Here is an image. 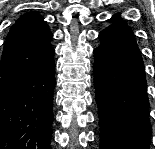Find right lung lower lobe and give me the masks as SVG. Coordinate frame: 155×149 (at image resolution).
I'll return each instance as SVG.
<instances>
[{
    "label": "right lung lower lobe",
    "mask_w": 155,
    "mask_h": 149,
    "mask_svg": "<svg viewBox=\"0 0 155 149\" xmlns=\"http://www.w3.org/2000/svg\"><path fill=\"white\" fill-rule=\"evenodd\" d=\"M53 56L0 77V149H51Z\"/></svg>",
    "instance_id": "1"
}]
</instances>
